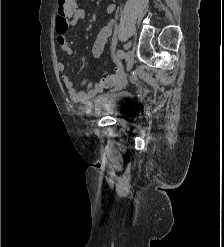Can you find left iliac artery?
I'll list each match as a JSON object with an SVG mask.
<instances>
[{
	"label": "left iliac artery",
	"instance_id": "left-iliac-artery-1",
	"mask_svg": "<svg viewBox=\"0 0 224 247\" xmlns=\"http://www.w3.org/2000/svg\"><path fill=\"white\" fill-rule=\"evenodd\" d=\"M117 55L120 59H123L125 57V53L123 50H118L117 51Z\"/></svg>",
	"mask_w": 224,
	"mask_h": 247
}]
</instances>
